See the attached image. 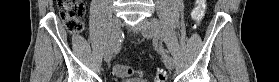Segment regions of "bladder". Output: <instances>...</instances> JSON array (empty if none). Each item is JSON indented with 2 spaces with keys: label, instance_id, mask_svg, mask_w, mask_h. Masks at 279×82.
<instances>
[{
  "label": "bladder",
  "instance_id": "1",
  "mask_svg": "<svg viewBox=\"0 0 279 82\" xmlns=\"http://www.w3.org/2000/svg\"><path fill=\"white\" fill-rule=\"evenodd\" d=\"M122 82H148L146 80H138V79H134V80H124Z\"/></svg>",
  "mask_w": 279,
  "mask_h": 82
}]
</instances>
